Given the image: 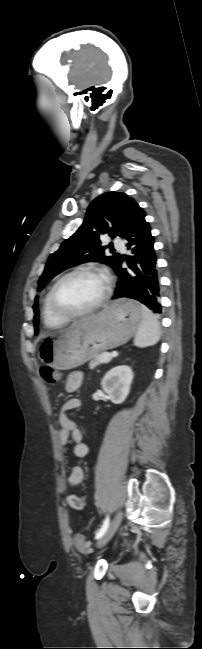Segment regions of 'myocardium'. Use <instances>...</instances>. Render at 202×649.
Here are the masks:
<instances>
[{
	"label": "myocardium",
	"instance_id": "1",
	"mask_svg": "<svg viewBox=\"0 0 202 649\" xmlns=\"http://www.w3.org/2000/svg\"><path fill=\"white\" fill-rule=\"evenodd\" d=\"M83 273H91V274H100L103 276L105 280V290L102 294V296L99 298L97 302H95L92 306H90L87 309L84 310H79V311H72L67 308H65L58 300L57 297V290L59 286L64 282L67 278L76 275V274H83ZM111 290H112V284H111V278L110 276L102 269L95 267V266H81L74 268L67 273L63 274L51 287L50 289V304L52 306L53 311L60 317L66 318V319H73V318H78V317H83L86 315H89L96 310H98L100 307L104 305V303L109 299L111 295Z\"/></svg>",
	"mask_w": 202,
	"mask_h": 649
}]
</instances>
